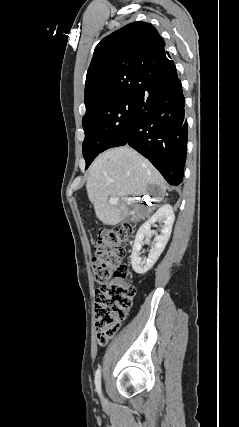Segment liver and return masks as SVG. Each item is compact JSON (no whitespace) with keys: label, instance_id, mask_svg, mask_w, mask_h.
<instances>
[{"label":"liver","instance_id":"1","mask_svg":"<svg viewBox=\"0 0 239 427\" xmlns=\"http://www.w3.org/2000/svg\"><path fill=\"white\" fill-rule=\"evenodd\" d=\"M159 187L164 196L166 183L158 170L129 146L113 148L100 154L89 168L87 193L94 204L98 219L106 225H116L135 215L131 211L128 196L148 194V187ZM111 197L118 198L110 204Z\"/></svg>","mask_w":239,"mask_h":427}]
</instances>
